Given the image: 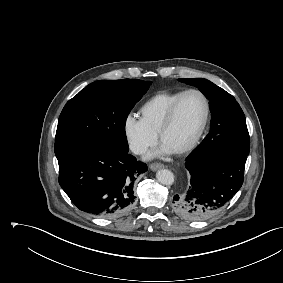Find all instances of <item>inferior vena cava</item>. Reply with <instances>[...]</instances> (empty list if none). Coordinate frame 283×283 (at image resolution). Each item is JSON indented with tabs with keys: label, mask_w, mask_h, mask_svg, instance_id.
Wrapping results in <instances>:
<instances>
[{
	"label": "inferior vena cava",
	"mask_w": 283,
	"mask_h": 283,
	"mask_svg": "<svg viewBox=\"0 0 283 283\" xmlns=\"http://www.w3.org/2000/svg\"><path fill=\"white\" fill-rule=\"evenodd\" d=\"M132 151L135 153V154H143L147 151L146 147L144 146H141V145H136V146H133L132 147Z\"/></svg>",
	"instance_id": "1"
}]
</instances>
